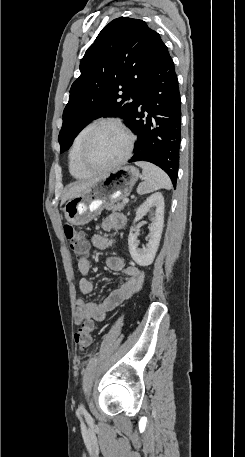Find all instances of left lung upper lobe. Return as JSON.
Masks as SVG:
<instances>
[{
    "label": "left lung upper lobe",
    "mask_w": 245,
    "mask_h": 457,
    "mask_svg": "<svg viewBox=\"0 0 245 457\" xmlns=\"http://www.w3.org/2000/svg\"><path fill=\"white\" fill-rule=\"evenodd\" d=\"M159 34L139 19L120 17L97 36L80 63L63 112L59 143L63 153L90 121L119 116L130 122L140 101Z\"/></svg>",
    "instance_id": "5c2ea615"
}]
</instances>
